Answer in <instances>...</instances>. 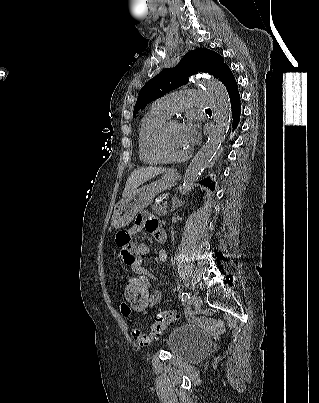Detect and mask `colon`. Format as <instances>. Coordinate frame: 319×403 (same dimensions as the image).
<instances>
[{
  "label": "colon",
  "instance_id": "colon-1",
  "mask_svg": "<svg viewBox=\"0 0 319 403\" xmlns=\"http://www.w3.org/2000/svg\"><path fill=\"white\" fill-rule=\"evenodd\" d=\"M131 273L133 275H128L125 288L127 297L121 298L118 316L123 317V324L127 325L129 340L136 341L141 346H147L154 338L172 326L178 320L179 314L174 309L160 312L151 325L149 333L142 332L139 321L134 320L133 308L135 313H146L147 309H150V300L153 297L151 291L153 278L152 275H137L139 273L137 268H133Z\"/></svg>",
  "mask_w": 319,
  "mask_h": 403
}]
</instances>
